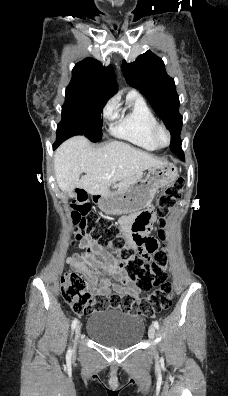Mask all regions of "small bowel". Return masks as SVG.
<instances>
[{
  "label": "small bowel",
  "instance_id": "1",
  "mask_svg": "<svg viewBox=\"0 0 228 396\" xmlns=\"http://www.w3.org/2000/svg\"><path fill=\"white\" fill-rule=\"evenodd\" d=\"M133 217L121 220L120 229L126 240L127 248L137 250L138 247L132 240L131 223ZM81 253H74L68 257L66 263L76 272L87 278L91 286V292L96 295H110L131 293L134 296L140 294L137 285L128 279L121 266L114 258L107 255L99 243L88 238L80 243ZM114 278L119 282L111 281Z\"/></svg>",
  "mask_w": 228,
  "mask_h": 396
}]
</instances>
